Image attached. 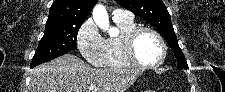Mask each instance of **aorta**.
Instances as JSON below:
<instances>
[{"instance_id": "1", "label": "aorta", "mask_w": 225, "mask_h": 92, "mask_svg": "<svg viewBox=\"0 0 225 92\" xmlns=\"http://www.w3.org/2000/svg\"><path fill=\"white\" fill-rule=\"evenodd\" d=\"M93 19L95 23L104 31H108L110 35H114L115 28H111L109 25V16L106 8L102 4H97L93 9Z\"/></svg>"}]
</instances>
